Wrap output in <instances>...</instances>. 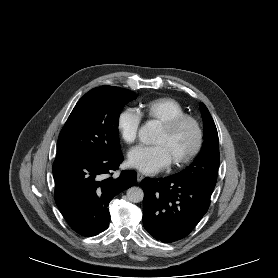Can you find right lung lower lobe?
Returning a JSON list of instances; mask_svg holds the SVG:
<instances>
[{
	"instance_id": "98d812e1",
	"label": "right lung lower lobe",
	"mask_w": 278,
	"mask_h": 278,
	"mask_svg": "<svg viewBox=\"0 0 278 278\" xmlns=\"http://www.w3.org/2000/svg\"><path fill=\"white\" fill-rule=\"evenodd\" d=\"M122 160L118 151L54 162L55 202L70 227L80 235L90 237L106 230L109 202L135 184L134 171H122L116 179L109 176Z\"/></svg>"
}]
</instances>
